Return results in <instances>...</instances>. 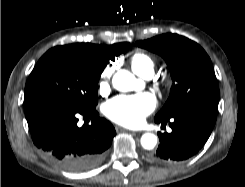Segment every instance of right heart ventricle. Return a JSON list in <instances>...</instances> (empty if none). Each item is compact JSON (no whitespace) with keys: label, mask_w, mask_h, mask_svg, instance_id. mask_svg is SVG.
<instances>
[{"label":"right heart ventricle","mask_w":245,"mask_h":187,"mask_svg":"<svg viewBox=\"0 0 245 187\" xmlns=\"http://www.w3.org/2000/svg\"><path fill=\"white\" fill-rule=\"evenodd\" d=\"M129 61L132 70L140 76H146L149 72H153L155 66L153 58L141 51L133 53Z\"/></svg>","instance_id":"right-heart-ventricle-1"}]
</instances>
